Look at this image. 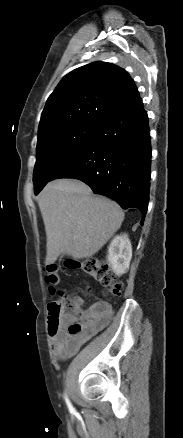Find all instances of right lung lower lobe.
Instances as JSON below:
<instances>
[{
  "mask_svg": "<svg viewBox=\"0 0 183 438\" xmlns=\"http://www.w3.org/2000/svg\"><path fill=\"white\" fill-rule=\"evenodd\" d=\"M150 166V131L141 102L98 124L87 145L53 179L81 180L122 208L139 209L144 219Z\"/></svg>",
  "mask_w": 183,
  "mask_h": 438,
  "instance_id": "98d812e1",
  "label": "right lung lower lobe"
}]
</instances>
